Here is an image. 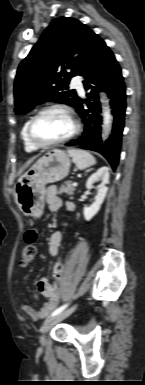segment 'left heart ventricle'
I'll return each instance as SVG.
<instances>
[{
  "label": "left heart ventricle",
  "mask_w": 145,
  "mask_h": 385,
  "mask_svg": "<svg viewBox=\"0 0 145 385\" xmlns=\"http://www.w3.org/2000/svg\"><path fill=\"white\" fill-rule=\"evenodd\" d=\"M73 128L69 118L60 111L41 115L33 127V136L40 143H50L67 136Z\"/></svg>",
  "instance_id": "1"
}]
</instances>
